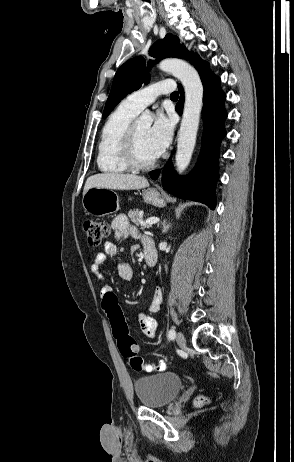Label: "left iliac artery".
Returning a JSON list of instances; mask_svg holds the SVG:
<instances>
[{"instance_id": "obj_1", "label": "left iliac artery", "mask_w": 294, "mask_h": 462, "mask_svg": "<svg viewBox=\"0 0 294 462\" xmlns=\"http://www.w3.org/2000/svg\"><path fill=\"white\" fill-rule=\"evenodd\" d=\"M175 336H176L175 330H174V329H170V331L168 332V337H169V339H174Z\"/></svg>"}]
</instances>
